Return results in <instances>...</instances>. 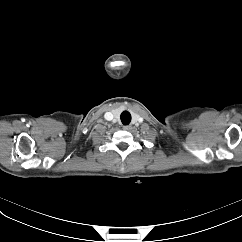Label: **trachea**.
I'll return each instance as SVG.
<instances>
[{
  "mask_svg": "<svg viewBox=\"0 0 242 242\" xmlns=\"http://www.w3.org/2000/svg\"><path fill=\"white\" fill-rule=\"evenodd\" d=\"M120 118L123 125H128L131 122V115L128 111H123Z\"/></svg>",
  "mask_w": 242,
  "mask_h": 242,
  "instance_id": "1",
  "label": "trachea"
}]
</instances>
